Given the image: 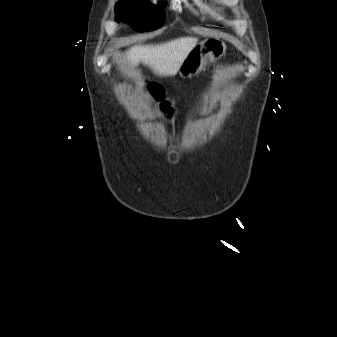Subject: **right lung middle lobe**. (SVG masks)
<instances>
[{
  "mask_svg": "<svg viewBox=\"0 0 337 337\" xmlns=\"http://www.w3.org/2000/svg\"><path fill=\"white\" fill-rule=\"evenodd\" d=\"M115 11L116 20L129 22L134 30L140 32L155 30L165 20L162 5H149L147 0H121Z\"/></svg>",
  "mask_w": 337,
  "mask_h": 337,
  "instance_id": "right-lung-middle-lobe-1",
  "label": "right lung middle lobe"
}]
</instances>
